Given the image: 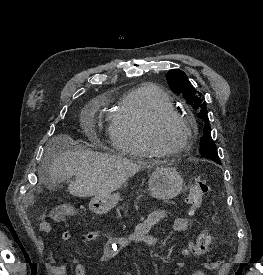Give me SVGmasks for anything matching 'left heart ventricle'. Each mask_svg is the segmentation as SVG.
<instances>
[{
  "label": "left heart ventricle",
  "instance_id": "b2bd125f",
  "mask_svg": "<svg viewBox=\"0 0 263 275\" xmlns=\"http://www.w3.org/2000/svg\"><path fill=\"white\" fill-rule=\"evenodd\" d=\"M156 137L164 148H176L184 143L187 137V128L181 121L169 119L160 125Z\"/></svg>",
  "mask_w": 263,
  "mask_h": 275
}]
</instances>
